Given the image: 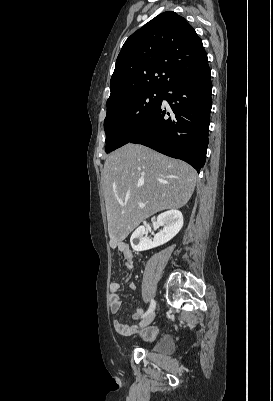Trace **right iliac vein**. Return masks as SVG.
Returning <instances> with one entry per match:
<instances>
[{
	"label": "right iliac vein",
	"mask_w": 273,
	"mask_h": 401,
	"mask_svg": "<svg viewBox=\"0 0 273 401\" xmlns=\"http://www.w3.org/2000/svg\"><path fill=\"white\" fill-rule=\"evenodd\" d=\"M155 318V312H151L148 316H146L141 322H140V327H146L149 325L151 322H153Z\"/></svg>",
	"instance_id": "1"
}]
</instances>
